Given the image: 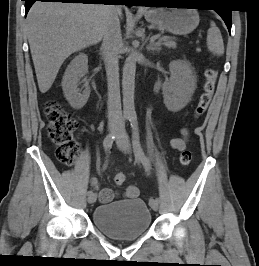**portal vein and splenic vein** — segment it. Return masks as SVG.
<instances>
[{
	"label": "portal vein and splenic vein",
	"instance_id": "portal-vein-and-splenic-vein-1",
	"mask_svg": "<svg viewBox=\"0 0 259 266\" xmlns=\"http://www.w3.org/2000/svg\"><path fill=\"white\" fill-rule=\"evenodd\" d=\"M163 38H164V39H169V37H166V36H164ZM153 40H154V39H152V41H153Z\"/></svg>",
	"mask_w": 259,
	"mask_h": 266
}]
</instances>
